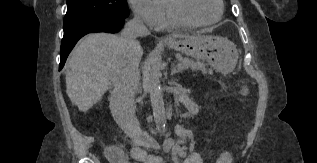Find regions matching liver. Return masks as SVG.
Instances as JSON below:
<instances>
[{"mask_svg": "<svg viewBox=\"0 0 317 163\" xmlns=\"http://www.w3.org/2000/svg\"><path fill=\"white\" fill-rule=\"evenodd\" d=\"M173 38H187L173 35ZM121 37L108 33L87 35L72 51L67 62L66 92L81 112H87L110 88L112 78L122 59ZM140 44L134 57L140 62Z\"/></svg>", "mask_w": 317, "mask_h": 163, "instance_id": "obj_1", "label": "liver"}]
</instances>
